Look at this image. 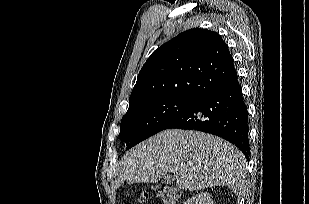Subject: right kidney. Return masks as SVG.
<instances>
[{"label":"right kidney","instance_id":"right-kidney-1","mask_svg":"<svg viewBox=\"0 0 309 204\" xmlns=\"http://www.w3.org/2000/svg\"><path fill=\"white\" fill-rule=\"evenodd\" d=\"M184 204H214L211 195L207 192L199 193L188 199Z\"/></svg>","mask_w":309,"mask_h":204}]
</instances>
